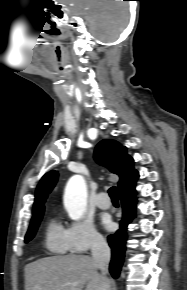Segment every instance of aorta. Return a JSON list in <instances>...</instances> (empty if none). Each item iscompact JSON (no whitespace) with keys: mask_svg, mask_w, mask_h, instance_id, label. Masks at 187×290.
Here are the masks:
<instances>
[{"mask_svg":"<svg viewBox=\"0 0 187 290\" xmlns=\"http://www.w3.org/2000/svg\"><path fill=\"white\" fill-rule=\"evenodd\" d=\"M64 206L73 220L82 218L87 206V188L85 180L80 175L72 176L65 187Z\"/></svg>","mask_w":187,"mask_h":290,"instance_id":"762f6f07","label":"aorta"}]
</instances>
